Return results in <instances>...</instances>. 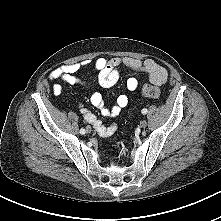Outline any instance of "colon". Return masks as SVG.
I'll return each instance as SVG.
<instances>
[{
  "mask_svg": "<svg viewBox=\"0 0 221 221\" xmlns=\"http://www.w3.org/2000/svg\"><path fill=\"white\" fill-rule=\"evenodd\" d=\"M142 94L147 98H158L160 96V88L153 84H146L142 87Z\"/></svg>",
  "mask_w": 221,
  "mask_h": 221,
  "instance_id": "5ec220e1",
  "label": "colon"
}]
</instances>
